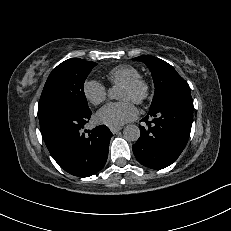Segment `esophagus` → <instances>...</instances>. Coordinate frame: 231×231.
I'll return each instance as SVG.
<instances>
[{
  "mask_svg": "<svg viewBox=\"0 0 231 231\" xmlns=\"http://www.w3.org/2000/svg\"><path fill=\"white\" fill-rule=\"evenodd\" d=\"M121 129H122V127H119V128H110V131H111L113 134H116V133L119 132Z\"/></svg>",
  "mask_w": 231,
  "mask_h": 231,
  "instance_id": "esophagus-1",
  "label": "esophagus"
}]
</instances>
